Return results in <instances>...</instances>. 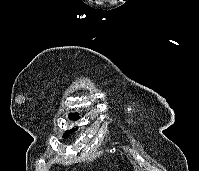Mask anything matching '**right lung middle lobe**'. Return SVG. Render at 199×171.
Returning a JSON list of instances; mask_svg holds the SVG:
<instances>
[{
    "label": "right lung middle lobe",
    "mask_w": 199,
    "mask_h": 171,
    "mask_svg": "<svg viewBox=\"0 0 199 171\" xmlns=\"http://www.w3.org/2000/svg\"><path fill=\"white\" fill-rule=\"evenodd\" d=\"M78 118H79V116H78L76 113H70V114H69V119H70V120H77ZM75 130H76V129L73 128V129H71V130L66 131V132L64 133L63 137H64V138L68 137V135L71 134V132H74Z\"/></svg>",
    "instance_id": "dd1d6c3e"
}]
</instances>
